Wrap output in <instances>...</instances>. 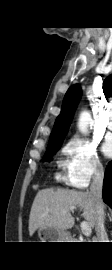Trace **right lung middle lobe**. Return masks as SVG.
<instances>
[{"instance_id":"right-lung-middle-lobe-1","label":"right lung middle lobe","mask_w":112,"mask_h":270,"mask_svg":"<svg viewBox=\"0 0 112 270\" xmlns=\"http://www.w3.org/2000/svg\"><path fill=\"white\" fill-rule=\"evenodd\" d=\"M62 142H57V143H52V144H48L46 153L43 157V160L46 161L48 159H50L55 152L58 151V149L61 147Z\"/></svg>"}]
</instances>
